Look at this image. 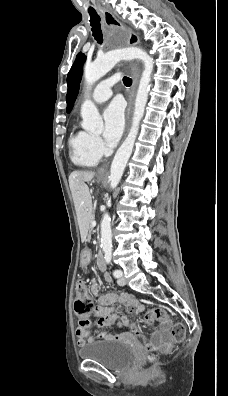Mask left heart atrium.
<instances>
[{"label":"left heart atrium","instance_id":"39dd6f15","mask_svg":"<svg viewBox=\"0 0 228 396\" xmlns=\"http://www.w3.org/2000/svg\"><path fill=\"white\" fill-rule=\"evenodd\" d=\"M104 139L108 144H115L122 135L125 117L124 106L120 100H115L105 109Z\"/></svg>","mask_w":228,"mask_h":396}]
</instances>
